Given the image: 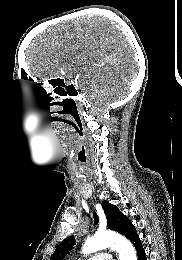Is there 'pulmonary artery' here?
I'll list each match as a JSON object with an SVG mask.
<instances>
[{
    "label": "pulmonary artery",
    "mask_w": 182,
    "mask_h": 260,
    "mask_svg": "<svg viewBox=\"0 0 182 260\" xmlns=\"http://www.w3.org/2000/svg\"><path fill=\"white\" fill-rule=\"evenodd\" d=\"M89 260H111V256L107 253H99L92 256Z\"/></svg>",
    "instance_id": "e3ab8cb5"
}]
</instances>
